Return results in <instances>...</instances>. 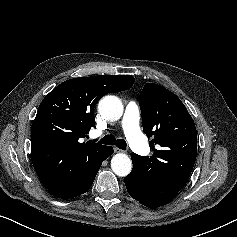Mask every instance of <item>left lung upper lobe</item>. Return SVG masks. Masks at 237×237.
I'll return each instance as SVG.
<instances>
[{
	"mask_svg": "<svg viewBox=\"0 0 237 237\" xmlns=\"http://www.w3.org/2000/svg\"><path fill=\"white\" fill-rule=\"evenodd\" d=\"M143 131L151 157L134 153L139 178L154 185L153 194L179 192L189 179L197 156L194 121L182 101L166 88L145 84L140 93Z\"/></svg>",
	"mask_w": 237,
	"mask_h": 237,
	"instance_id": "left-lung-upper-lobe-1",
	"label": "left lung upper lobe"
}]
</instances>
